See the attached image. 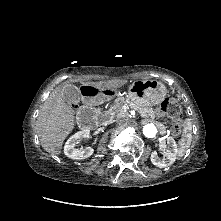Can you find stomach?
<instances>
[{"mask_svg": "<svg viewBox=\"0 0 221 221\" xmlns=\"http://www.w3.org/2000/svg\"><path fill=\"white\" fill-rule=\"evenodd\" d=\"M166 94V87L156 80H136L128 90L129 100L142 107L161 103Z\"/></svg>", "mask_w": 221, "mask_h": 221, "instance_id": "stomach-1", "label": "stomach"}]
</instances>
